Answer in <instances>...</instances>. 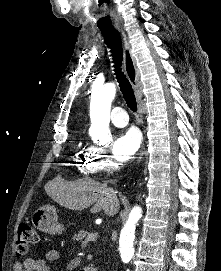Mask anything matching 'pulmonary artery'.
Wrapping results in <instances>:
<instances>
[{"label":"pulmonary artery","mask_w":221,"mask_h":271,"mask_svg":"<svg viewBox=\"0 0 221 271\" xmlns=\"http://www.w3.org/2000/svg\"><path fill=\"white\" fill-rule=\"evenodd\" d=\"M114 112H110V117H112V124L113 126H118V127H122V126H126L129 122V117L127 116L126 112H121L122 108L121 107H114L113 108Z\"/></svg>","instance_id":"pulmonary-artery-1"}]
</instances>
